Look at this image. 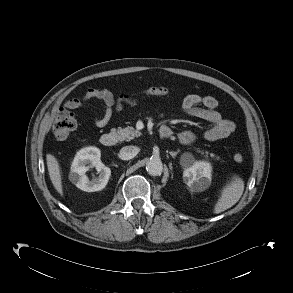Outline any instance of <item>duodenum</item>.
<instances>
[{
	"mask_svg": "<svg viewBox=\"0 0 293 293\" xmlns=\"http://www.w3.org/2000/svg\"><path fill=\"white\" fill-rule=\"evenodd\" d=\"M161 138H168L170 136V131L165 128H161L160 130ZM100 143L102 146L106 148H111L116 144V136L113 133H104L100 137Z\"/></svg>",
	"mask_w": 293,
	"mask_h": 293,
	"instance_id": "obj_1",
	"label": "duodenum"
}]
</instances>
